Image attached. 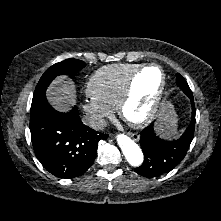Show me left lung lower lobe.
Listing matches in <instances>:
<instances>
[{
	"mask_svg": "<svg viewBox=\"0 0 221 221\" xmlns=\"http://www.w3.org/2000/svg\"><path fill=\"white\" fill-rule=\"evenodd\" d=\"M192 105V117L184 134L177 140L167 141L154 132V125L146 127L140 134V146L144 162L135 168V172L144 177L153 178L170 172L184 158L191 144L195 129V106L193 96L189 97Z\"/></svg>",
	"mask_w": 221,
	"mask_h": 221,
	"instance_id": "left-lung-lower-lobe-1",
	"label": "left lung lower lobe"
}]
</instances>
